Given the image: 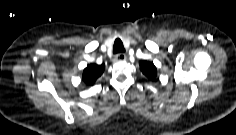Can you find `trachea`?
<instances>
[{
	"mask_svg": "<svg viewBox=\"0 0 236 135\" xmlns=\"http://www.w3.org/2000/svg\"><path fill=\"white\" fill-rule=\"evenodd\" d=\"M124 51H125V48L123 46L121 39L117 38L113 45V53L114 54L123 53Z\"/></svg>",
	"mask_w": 236,
	"mask_h": 135,
	"instance_id": "1",
	"label": "trachea"
}]
</instances>
